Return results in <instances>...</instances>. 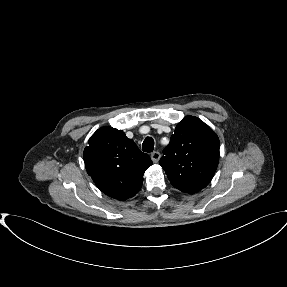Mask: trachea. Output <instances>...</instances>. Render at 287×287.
Here are the masks:
<instances>
[{"label":"trachea","instance_id":"obj_1","mask_svg":"<svg viewBox=\"0 0 287 287\" xmlns=\"http://www.w3.org/2000/svg\"><path fill=\"white\" fill-rule=\"evenodd\" d=\"M142 150L144 152H152L154 150V140L151 137H146L142 144Z\"/></svg>","mask_w":287,"mask_h":287}]
</instances>
